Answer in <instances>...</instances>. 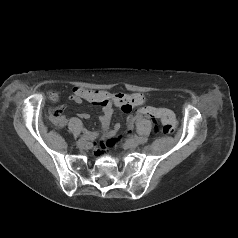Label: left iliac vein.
I'll use <instances>...</instances> for the list:
<instances>
[{"label":"left iliac vein","instance_id":"left-iliac-vein-1","mask_svg":"<svg viewBox=\"0 0 238 238\" xmlns=\"http://www.w3.org/2000/svg\"><path fill=\"white\" fill-rule=\"evenodd\" d=\"M138 146V142L134 139H129L124 143V147L127 149H133Z\"/></svg>","mask_w":238,"mask_h":238}]
</instances>
